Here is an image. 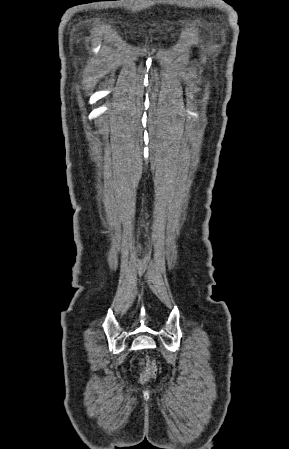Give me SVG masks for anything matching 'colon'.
<instances>
[{
	"label": "colon",
	"mask_w": 289,
	"mask_h": 449,
	"mask_svg": "<svg viewBox=\"0 0 289 449\" xmlns=\"http://www.w3.org/2000/svg\"><path fill=\"white\" fill-rule=\"evenodd\" d=\"M158 371L157 363L155 360H147L142 372H141V380L148 381L151 378L155 377Z\"/></svg>",
	"instance_id": "5ec220e1"
}]
</instances>
